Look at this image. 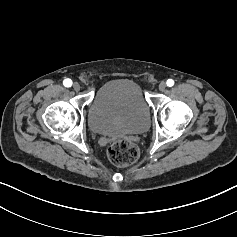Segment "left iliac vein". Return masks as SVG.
Listing matches in <instances>:
<instances>
[{
	"label": "left iliac vein",
	"instance_id": "4c4485c4",
	"mask_svg": "<svg viewBox=\"0 0 237 237\" xmlns=\"http://www.w3.org/2000/svg\"><path fill=\"white\" fill-rule=\"evenodd\" d=\"M159 90L160 91H164L165 89H166V83L165 82H161L160 84H159Z\"/></svg>",
	"mask_w": 237,
	"mask_h": 237
}]
</instances>
